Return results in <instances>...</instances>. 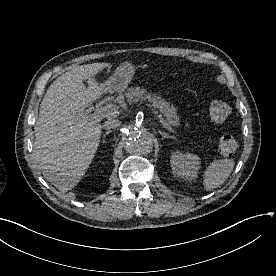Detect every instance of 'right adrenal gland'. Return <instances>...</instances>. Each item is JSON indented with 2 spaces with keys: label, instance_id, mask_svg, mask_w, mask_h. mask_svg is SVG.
I'll return each instance as SVG.
<instances>
[{
  "label": "right adrenal gland",
  "instance_id": "2a0ac1e0",
  "mask_svg": "<svg viewBox=\"0 0 276 276\" xmlns=\"http://www.w3.org/2000/svg\"><path fill=\"white\" fill-rule=\"evenodd\" d=\"M109 133H110V131L105 132L104 135H103V138H105Z\"/></svg>",
  "mask_w": 276,
  "mask_h": 276
}]
</instances>
